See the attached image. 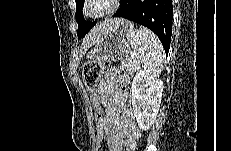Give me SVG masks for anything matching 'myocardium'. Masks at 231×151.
I'll return each mask as SVG.
<instances>
[{
  "label": "myocardium",
  "mask_w": 231,
  "mask_h": 151,
  "mask_svg": "<svg viewBox=\"0 0 231 151\" xmlns=\"http://www.w3.org/2000/svg\"><path fill=\"white\" fill-rule=\"evenodd\" d=\"M119 3V0H86L84 1L82 13L85 18L100 19L112 14L117 9ZM98 5L102 8L93 10Z\"/></svg>",
  "instance_id": "obj_1"
}]
</instances>
